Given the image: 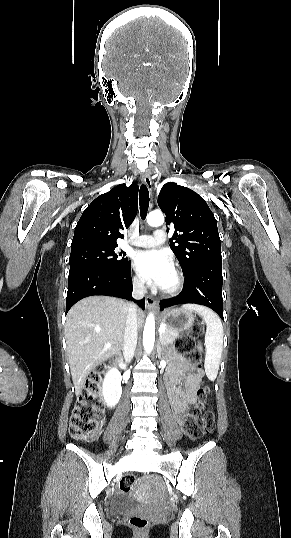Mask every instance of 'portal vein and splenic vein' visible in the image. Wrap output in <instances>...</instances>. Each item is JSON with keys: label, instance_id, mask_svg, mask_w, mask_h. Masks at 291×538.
Listing matches in <instances>:
<instances>
[{"label": "portal vein and splenic vein", "instance_id": "1", "mask_svg": "<svg viewBox=\"0 0 291 538\" xmlns=\"http://www.w3.org/2000/svg\"><path fill=\"white\" fill-rule=\"evenodd\" d=\"M164 331H165V327H164V326H160V328H159V333L161 334V333H163Z\"/></svg>", "mask_w": 291, "mask_h": 538}]
</instances>
